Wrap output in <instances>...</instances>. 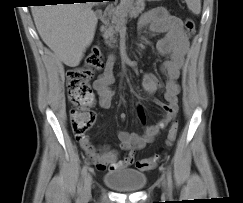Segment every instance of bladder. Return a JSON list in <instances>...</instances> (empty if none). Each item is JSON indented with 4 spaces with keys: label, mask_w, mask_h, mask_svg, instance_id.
<instances>
[{
    "label": "bladder",
    "mask_w": 243,
    "mask_h": 203,
    "mask_svg": "<svg viewBox=\"0 0 243 203\" xmlns=\"http://www.w3.org/2000/svg\"><path fill=\"white\" fill-rule=\"evenodd\" d=\"M103 181L116 191L136 192L145 186L147 176L135 169L119 168L104 174Z\"/></svg>",
    "instance_id": "obj_1"
}]
</instances>
